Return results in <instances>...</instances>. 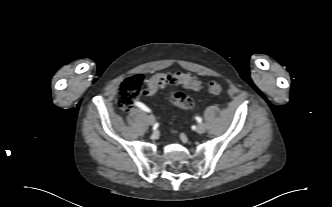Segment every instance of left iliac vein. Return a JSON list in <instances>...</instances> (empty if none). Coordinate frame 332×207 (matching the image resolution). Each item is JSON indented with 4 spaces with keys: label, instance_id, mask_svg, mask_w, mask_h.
Instances as JSON below:
<instances>
[{
    "label": "left iliac vein",
    "instance_id": "4c4485c4",
    "mask_svg": "<svg viewBox=\"0 0 332 207\" xmlns=\"http://www.w3.org/2000/svg\"><path fill=\"white\" fill-rule=\"evenodd\" d=\"M196 131L200 134L204 133L206 131V125L202 122L198 123Z\"/></svg>",
    "mask_w": 332,
    "mask_h": 207
}]
</instances>
